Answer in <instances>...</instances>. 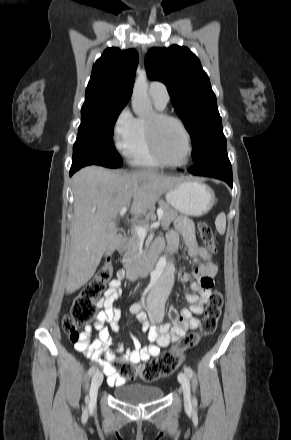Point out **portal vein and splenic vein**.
<instances>
[{
    "instance_id": "1",
    "label": "portal vein and splenic vein",
    "mask_w": 291,
    "mask_h": 440,
    "mask_svg": "<svg viewBox=\"0 0 291 440\" xmlns=\"http://www.w3.org/2000/svg\"><path fill=\"white\" fill-rule=\"evenodd\" d=\"M127 211V207H123L120 210V216H123ZM162 216H163V211L160 209L159 213H158V220L156 222H154L150 227H142V226H138V225H134V230L135 232L140 236V237H145L148 233V231L152 230V229H156L159 227L160 225V221L162 220Z\"/></svg>"
}]
</instances>
